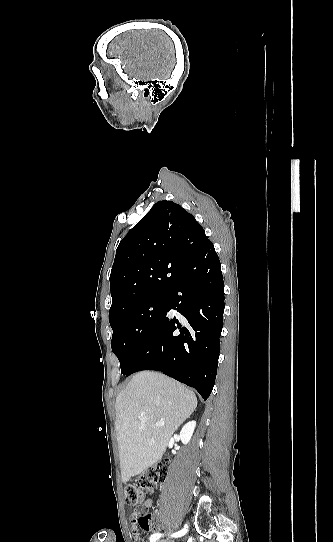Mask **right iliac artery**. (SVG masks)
<instances>
[{
	"instance_id": "right-iliac-artery-1",
	"label": "right iliac artery",
	"mask_w": 333,
	"mask_h": 542,
	"mask_svg": "<svg viewBox=\"0 0 333 542\" xmlns=\"http://www.w3.org/2000/svg\"><path fill=\"white\" fill-rule=\"evenodd\" d=\"M187 525H185L184 529H182L181 531L177 532V533H174L172 534L171 536L172 537H181L183 536L186 532H187ZM161 537V534L157 533V534H153L151 535L150 537V541L151 542H155L157 539H159Z\"/></svg>"
}]
</instances>
